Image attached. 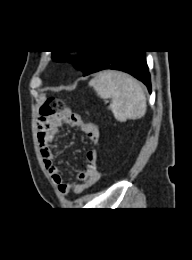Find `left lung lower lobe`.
Returning a JSON list of instances; mask_svg holds the SVG:
<instances>
[{"mask_svg":"<svg viewBox=\"0 0 192 260\" xmlns=\"http://www.w3.org/2000/svg\"><path fill=\"white\" fill-rule=\"evenodd\" d=\"M104 69L127 72L142 81L151 91L150 74L145 51L100 50L94 55L84 76Z\"/></svg>","mask_w":192,"mask_h":260,"instance_id":"0a47b994","label":"left lung lower lobe"}]
</instances>
